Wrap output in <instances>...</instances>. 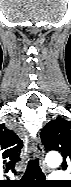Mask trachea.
<instances>
[{"mask_svg":"<svg viewBox=\"0 0 71 187\" xmlns=\"http://www.w3.org/2000/svg\"><path fill=\"white\" fill-rule=\"evenodd\" d=\"M25 178H30V179H43L44 174L39 166V159H33L28 162L27 170L24 174Z\"/></svg>","mask_w":71,"mask_h":187,"instance_id":"3493384b","label":"trachea"}]
</instances>
